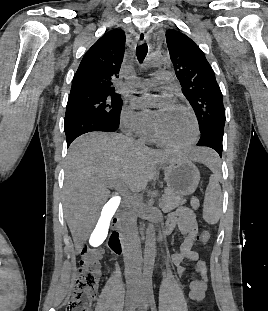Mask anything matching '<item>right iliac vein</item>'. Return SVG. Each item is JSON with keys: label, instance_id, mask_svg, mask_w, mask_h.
<instances>
[{"label": "right iliac vein", "instance_id": "1", "mask_svg": "<svg viewBox=\"0 0 268 311\" xmlns=\"http://www.w3.org/2000/svg\"><path fill=\"white\" fill-rule=\"evenodd\" d=\"M137 295H138V291L135 288H130L127 291L126 301H125L126 311H130L131 308L134 306Z\"/></svg>", "mask_w": 268, "mask_h": 311}]
</instances>
